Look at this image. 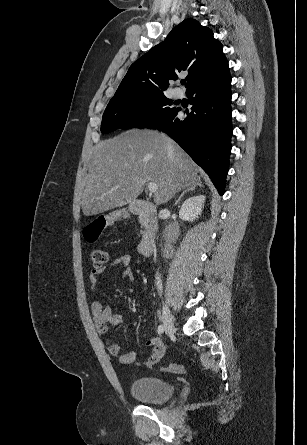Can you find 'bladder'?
I'll list each match as a JSON object with an SVG mask.
<instances>
[{
    "instance_id": "obj_1",
    "label": "bladder",
    "mask_w": 307,
    "mask_h": 445,
    "mask_svg": "<svg viewBox=\"0 0 307 445\" xmlns=\"http://www.w3.org/2000/svg\"><path fill=\"white\" fill-rule=\"evenodd\" d=\"M130 392L134 398L141 402L160 404L173 396L174 386L162 378L146 376L133 380Z\"/></svg>"
}]
</instances>
